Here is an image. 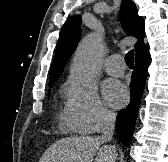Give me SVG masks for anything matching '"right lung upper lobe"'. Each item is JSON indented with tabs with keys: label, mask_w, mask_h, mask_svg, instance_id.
<instances>
[{
	"label": "right lung upper lobe",
	"mask_w": 168,
	"mask_h": 162,
	"mask_svg": "<svg viewBox=\"0 0 168 162\" xmlns=\"http://www.w3.org/2000/svg\"><path fill=\"white\" fill-rule=\"evenodd\" d=\"M119 15L126 34L138 39L135 44L136 57L148 52V46L143 42L145 36L144 19L138 15L134 2L132 0H123ZM80 25V16H71L66 20L57 43L55 58L51 66L49 83L55 82L62 74L67 61L80 39Z\"/></svg>",
	"instance_id": "1"
}]
</instances>
